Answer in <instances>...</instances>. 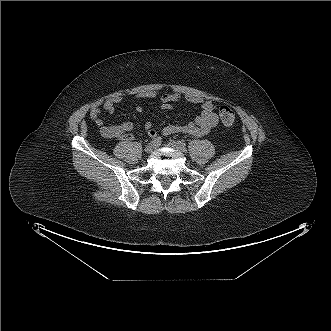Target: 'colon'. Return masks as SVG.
I'll list each match as a JSON object with an SVG mask.
<instances>
[{"label": "colon", "instance_id": "colon-1", "mask_svg": "<svg viewBox=\"0 0 331 331\" xmlns=\"http://www.w3.org/2000/svg\"><path fill=\"white\" fill-rule=\"evenodd\" d=\"M219 115H220L221 122L225 126H231V125L234 124V122H235V113L228 106H222L219 110Z\"/></svg>", "mask_w": 331, "mask_h": 331}]
</instances>
